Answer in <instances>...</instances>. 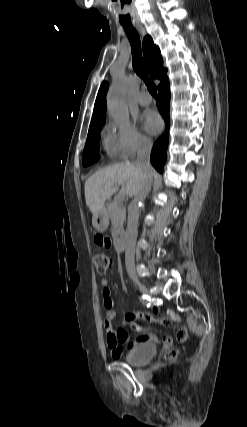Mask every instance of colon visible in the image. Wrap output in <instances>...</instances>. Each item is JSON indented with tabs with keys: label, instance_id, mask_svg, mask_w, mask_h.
Segmentation results:
<instances>
[{
	"label": "colon",
	"instance_id": "5ec220e1",
	"mask_svg": "<svg viewBox=\"0 0 247 427\" xmlns=\"http://www.w3.org/2000/svg\"><path fill=\"white\" fill-rule=\"evenodd\" d=\"M110 239V238H109ZM93 262L96 267V270L99 273H104L110 266V257L106 253H96L93 256ZM175 356V352H169L167 354V358H173Z\"/></svg>",
	"mask_w": 247,
	"mask_h": 427
}]
</instances>
